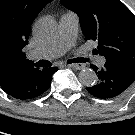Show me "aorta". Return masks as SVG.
<instances>
[{
	"label": "aorta",
	"instance_id": "762f6f07",
	"mask_svg": "<svg viewBox=\"0 0 135 135\" xmlns=\"http://www.w3.org/2000/svg\"><path fill=\"white\" fill-rule=\"evenodd\" d=\"M35 35L44 42L55 41L59 36V26L52 18H42L34 25ZM79 81L85 86H93L97 82L94 70L84 68L79 72Z\"/></svg>",
	"mask_w": 135,
	"mask_h": 135
}]
</instances>
